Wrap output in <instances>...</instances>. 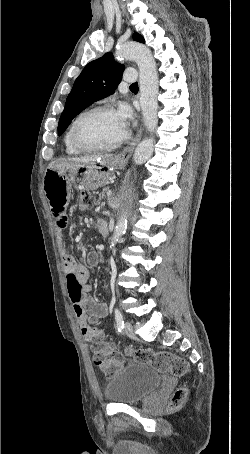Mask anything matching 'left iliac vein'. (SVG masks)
Masks as SVG:
<instances>
[{"label":"left iliac vein","mask_w":250,"mask_h":454,"mask_svg":"<svg viewBox=\"0 0 250 454\" xmlns=\"http://www.w3.org/2000/svg\"><path fill=\"white\" fill-rule=\"evenodd\" d=\"M124 332L125 334L128 336V337H134V330H133V326L130 322H125V325H124Z\"/></svg>","instance_id":"obj_1"}]
</instances>
